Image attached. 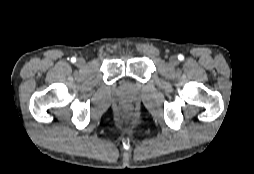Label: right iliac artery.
<instances>
[{
  "label": "right iliac artery",
  "instance_id": "obj_1",
  "mask_svg": "<svg viewBox=\"0 0 254 174\" xmlns=\"http://www.w3.org/2000/svg\"><path fill=\"white\" fill-rule=\"evenodd\" d=\"M71 62L72 63L76 62V58L75 57L71 58Z\"/></svg>",
  "mask_w": 254,
  "mask_h": 174
}]
</instances>
